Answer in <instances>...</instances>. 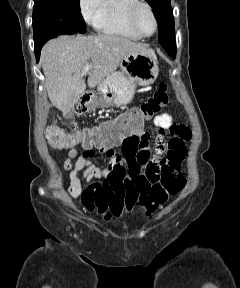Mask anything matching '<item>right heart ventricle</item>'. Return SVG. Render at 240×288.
<instances>
[{
  "label": "right heart ventricle",
  "instance_id": "1",
  "mask_svg": "<svg viewBox=\"0 0 240 288\" xmlns=\"http://www.w3.org/2000/svg\"><path fill=\"white\" fill-rule=\"evenodd\" d=\"M135 0H104L102 13L96 28L104 34L140 39L128 25L127 11Z\"/></svg>",
  "mask_w": 240,
  "mask_h": 288
}]
</instances>
